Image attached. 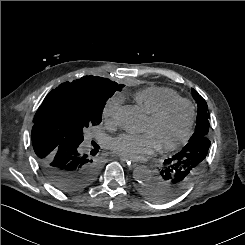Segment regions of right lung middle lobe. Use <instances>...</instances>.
<instances>
[{
    "label": "right lung middle lobe",
    "mask_w": 245,
    "mask_h": 245,
    "mask_svg": "<svg viewBox=\"0 0 245 245\" xmlns=\"http://www.w3.org/2000/svg\"><path fill=\"white\" fill-rule=\"evenodd\" d=\"M123 87V84L106 80L103 85L92 90L88 97L63 98L46 108L44 122L49 129L64 138L81 143L84 130L101 122L106 101Z\"/></svg>",
    "instance_id": "1"
}]
</instances>
